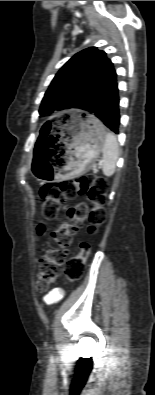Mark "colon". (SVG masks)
<instances>
[{"instance_id": "5ec220e1", "label": "colon", "mask_w": 155, "mask_h": 395, "mask_svg": "<svg viewBox=\"0 0 155 395\" xmlns=\"http://www.w3.org/2000/svg\"><path fill=\"white\" fill-rule=\"evenodd\" d=\"M108 189L107 181L92 174L81 175L75 179L59 183L46 184L40 190V201L43 216L48 220L57 217L59 209L67 199L87 196L91 206L79 203L69 208L60 225L51 233L59 248L48 250L40 260L37 290L46 291L59 276L64 262V249L70 244L72 236L88 222L89 232H95L106 219L105 197ZM43 228H38V234ZM90 254V245L81 244L80 253L70 258L65 267V277L74 282L81 278L85 262ZM66 286L70 287L71 283Z\"/></svg>"}]
</instances>
